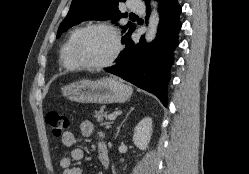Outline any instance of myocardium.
I'll return each instance as SVG.
<instances>
[{
    "label": "myocardium",
    "instance_id": "1",
    "mask_svg": "<svg viewBox=\"0 0 249 174\" xmlns=\"http://www.w3.org/2000/svg\"><path fill=\"white\" fill-rule=\"evenodd\" d=\"M97 29L105 30L111 34L114 40V50L111 56L106 61L98 63V64H90V63L85 62L80 57L79 48L85 36L89 32L93 30H97ZM121 48H122L121 39H120L117 29L114 26L108 23H93V24L86 26L76 38L74 45H73V56L80 68L89 69V70H100V69L109 67L116 61V59L118 58L121 52Z\"/></svg>",
    "mask_w": 249,
    "mask_h": 174
}]
</instances>
